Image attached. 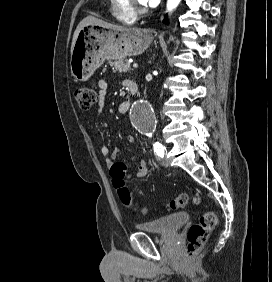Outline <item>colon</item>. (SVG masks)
<instances>
[{
    "label": "colon",
    "instance_id": "1",
    "mask_svg": "<svg viewBox=\"0 0 272 282\" xmlns=\"http://www.w3.org/2000/svg\"><path fill=\"white\" fill-rule=\"evenodd\" d=\"M75 98L83 110L91 109L98 101L97 92L90 87L81 86L75 90ZM122 171V166L119 164L114 165L113 172L117 175ZM118 190V196L123 205L129 210L138 212L141 210L139 203L132 199L131 194L119 178L116 182ZM188 202V196L186 194H179L173 198L169 204L168 209L177 211L183 209ZM196 202L200 204V199L196 198ZM218 222L217 214L213 209H206L199 217L197 223L193 224L187 234V246L185 250V259L190 261L194 259L201 251L206 243L211 230L216 226Z\"/></svg>",
    "mask_w": 272,
    "mask_h": 282
}]
</instances>
